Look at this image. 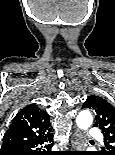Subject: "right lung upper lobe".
<instances>
[{"label":"right lung upper lobe","instance_id":"cb5924a9","mask_svg":"<svg viewBox=\"0 0 115 155\" xmlns=\"http://www.w3.org/2000/svg\"><path fill=\"white\" fill-rule=\"evenodd\" d=\"M49 116L36 104L24 107L13 119L5 133L1 151L47 138L51 135Z\"/></svg>","mask_w":115,"mask_h":155}]
</instances>
